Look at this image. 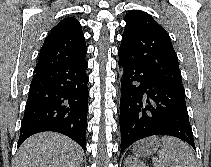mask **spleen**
Segmentation results:
<instances>
[{
  "mask_svg": "<svg viewBox=\"0 0 211 167\" xmlns=\"http://www.w3.org/2000/svg\"><path fill=\"white\" fill-rule=\"evenodd\" d=\"M162 149L153 158L154 167H198L192 148L174 137H162Z\"/></svg>",
  "mask_w": 211,
  "mask_h": 167,
  "instance_id": "1",
  "label": "spleen"
}]
</instances>
